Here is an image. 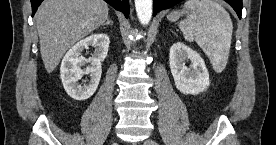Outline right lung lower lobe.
Here are the masks:
<instances>
[{"mask_svg": "<svg viewBox=\"0 0 276 145\" xmlns=\"http://www.w3.org/2000/svg\"><path fill=\"white\" fill-rule=\"evenodd\" d=\"M43 0H31L32 5V16H34L37 11L38 6ZM116 10L121 11L126 18L129 16V2L128 0H104Z\"/></svg>", "mask_w": 276, "mask_h": 145, "instance_id": "98d812e1", "label": "right lung lower lobe"}]
</instances>
